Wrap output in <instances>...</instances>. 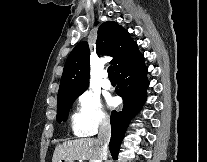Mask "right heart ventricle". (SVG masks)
<instances>
[{
    "instance_id": "1",
    "label": "right heart ventricle",
    "mask_w": 207,
    "mask_h": 162,
    "mask_svg": "<svg viewBox=\"0 0 207 162\" xmlns=\"http://www.w3.org/2000/svg\"><path fill=\"white\" fill-rule=\"evenodd\" d=\"M74 128L76 127V117H73Z\"/></svg>"
}]
</instances>
